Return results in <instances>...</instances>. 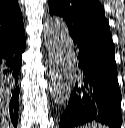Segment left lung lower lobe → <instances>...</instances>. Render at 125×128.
I'll return each instance as SVG.
<instances>
[{"instance_id":"1","label":"left lung lower lobe","mask_w":125,"mask_h":128,"mask_svg":"<svg viewBox=\"0 0 125 128\" xmlns=\"http://www.w3.org/2000/svg\"><path fill=\"white\" fill-rule=\"evenodd\" d=\"M81 69L59 128H76L97 121L120 128L121 92L113 50L74 41Z\"/></svg>"}]
</instances>
